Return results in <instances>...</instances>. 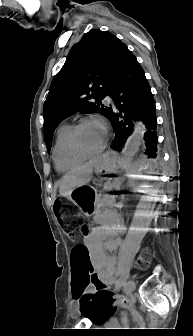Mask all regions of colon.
<instances>
[{"mask_svg": "<svg viewBox=\"0 0 193 336\" xmlns=\"http://www.w3.org/2000/svg\"><path fill=\"white\" fill-rule=\"evenodd\" d=\"M57 216L61 225L70 234L73 235L77 226H80V230L83 234H87L89 228L81 223V217L73 204L67 199H59L55 203ZM149 262L148 253H144L139 260L141 266H145ZM71 265L75 276L74 283V297L80 302L82 312L89 311V305L96 296H102L105 299H111L108 291L102 287V282L97 279L95 281V289L91 293H85L87 285L90 283V270L91 264L88 258V252L84 245L75 247L71 254ZM125 305H129L125 297L119 296L117 299Z\"/></svg>", "mask_w": 193, "mask_h": 336, "instance_id": "obj_1", "label": "colon"}]
</instances>
